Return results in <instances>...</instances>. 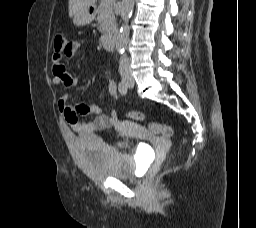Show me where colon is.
<instances>
[{
    "instance_id": "1",
    "label": "colon",
    "mask_w": 256,
    "mask_h": 228,
    "mask_svg": "<svg viewBox=\"0 0 256 228\" xmlns=\"http://www.w3.org/2000/svg\"><path fill=\"white\" fill-rule=\"evenodd\" d=\"M67 42L63 36L57 35L54 38L53 46H54V53L55 54H62L67 47ZM130 117L134 120H142L143 114L139 111H132L130 112ZM148 129L161 137H170L173 133L172 127L167 124H160L156 122L148 123Z\"/></svg>"
}]
</instances>
